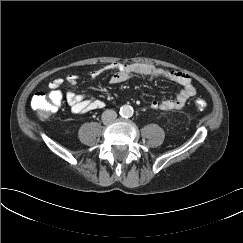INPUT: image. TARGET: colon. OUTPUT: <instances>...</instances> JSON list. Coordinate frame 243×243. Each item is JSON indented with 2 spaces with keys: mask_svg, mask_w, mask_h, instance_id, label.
Here are the masks:
<instances>
[{
  "mask_svg": "<svg viewBox=\"0 0 243 243\" xmlns=\"http://www.w3.org/2000/svg\"><path fill=\"white\" fill-rule=\"evenodd\" d=\"M61 101L62 94L59 90L50 91L48 93L39 92L33 96L31 105L40 117L47 118L58 110ZM195 106L203 110L206 108V102L203 99H196Z\"/></svg>",
  "mask_w": 243,
  "mask_h": 243,
  "instance_id": "5ec220e1",
  "label": "colon"
}]
</instances>
